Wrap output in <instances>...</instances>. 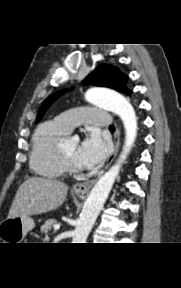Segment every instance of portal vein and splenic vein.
Masks as SVG:
<instances>
[{
  "instance_id": "obj_1",
  "label": "portal vein and splenic vein",
  "mask_w": 181,
  "mask_h": 288,
  "mask_svg": "<svg viewBox=\"0 0 181 288\" xmlns=\"http://www.w3.org/2000/svg\"><path fill=\"white\" fill-rule=\"evenodd\" d=\"M60 229V225L59 224H56V225H54V230L56 231V230H59Z\"/></svg>"
}]
</instances>
